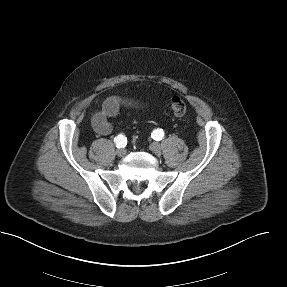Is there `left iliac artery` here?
Segmentation results:
<instances>
[{
    "label": "left iliac artery",
    "instance_id": "44dca946",
    "mask_svg": "<svg viewBox=\"0 0 287 287\" xmlns=\"http://www.w3.org/2000/svg\"><path fill=\"white\" fill-rule=\"evenodd\" d=\"M152 137L154 140L156 141H159V140H162V138L164 137V131L163 129H155L153 132H152Z\"/></svg>",
    "mask_w": 287,
    "mask_h": 287
}]
</instances>
